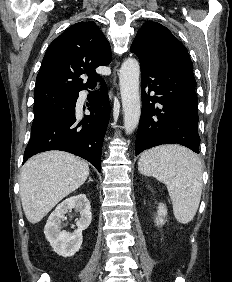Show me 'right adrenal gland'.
<instances>
[{
	"instance_id": "2a0ac1e0",
	"label": "right adrenal gland",
	"mask_w": 232,
	"mask_h": 282,
	"mask_svg": "<svg viewBox=\"0 0 232 282\" xmlns=\"http://www.w3.org/2000/svg\"><path fill=\"white\" fill-rule=\"evenodd\" d=\"M90 181H93V180L91 179V177L89 178V182H90Z\"/></svg>"
}]
</instances>
